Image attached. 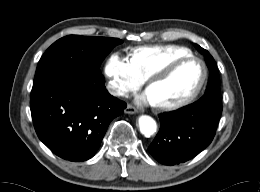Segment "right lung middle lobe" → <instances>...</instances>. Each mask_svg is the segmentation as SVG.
Instances as JSON below:
<instances>
[{
    "instance_id": "dd1d6c3e",
    "label": "right lung middle lobe",
    "mask_w": 260,
    "mask_h": 192,
    "mask_svg": "<svg viewBox=\"0 0 260 192\" xmlns=\"http://www.w3.org/2000/svg\"><path fill=\"white\" fill-rule=\"evenodd\" d=\"M121 43L115 38L65 36L53 43L40 59L34 84L47 74L63 68L100 73L99 67L104 58Z\"/></svg>"
}]
</instances>
